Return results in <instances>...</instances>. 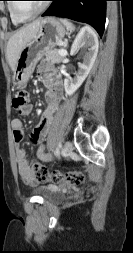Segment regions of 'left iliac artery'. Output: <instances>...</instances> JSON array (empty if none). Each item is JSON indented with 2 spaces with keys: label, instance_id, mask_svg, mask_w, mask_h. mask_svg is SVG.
Masks as SVG:
<instances>
[{
  "label": "left iliac artery",
  "instance_id": "obj_1",
  "mask_svg": "<svg viewBox=\"0 0 133 253\" xmlns=\"http://www.w3.org/2000/svg\"><path fill=\"white\" fill-rule=\"evenodd\" d=\"M60 149H61V144H59L58 147L56 148V154H57V155H59Z\"/></svg>",
  "mask_w": 133,
  "mask_h": 253
}]
</instances>
